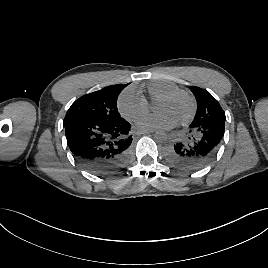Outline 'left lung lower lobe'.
Returning <instances> with one entry per match:
<instances>
[{
    "label": "left lung lower lobe",
    "mask_w": 268,
    "mask_h": 268,
    "mask_svg": "<svg viewBox=\"0 0 268 268\" xmlns=\"http://www.w3.org/2000/svg\"><path fill=\"white\" fill-rule=\"evenodd\" d=\"M225 129V121L219 120L196 128L185 142H178L167 151V160L185 172L197 171L216 156Z\"/></svg>",
    "instance_id": "1"
}]
</instances>
